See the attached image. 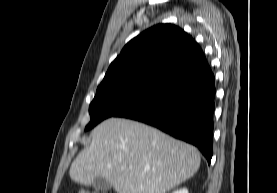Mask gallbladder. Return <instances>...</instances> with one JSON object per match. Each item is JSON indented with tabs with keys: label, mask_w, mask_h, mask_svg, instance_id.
<instances>
[{
	"label": "gallbladder",
	"mask_w": 277,
	"mask_h": 193,
	"mask_svg": "<svg viewBox=\"0 0 277 193\" xmlns=\"http://www.w3.org/2000/svg\"><path fill=\"white\" fill-rule=\"evenodd\" d=\"M92 186L96 190L103 191L104 193H106L108 190L112 188V185L107 181V179L101 176L94 178Z\"/></svg>",
	"instance_id": "1"
}]
</instances>
